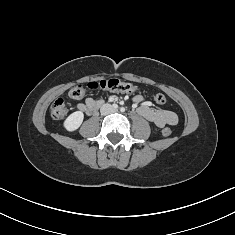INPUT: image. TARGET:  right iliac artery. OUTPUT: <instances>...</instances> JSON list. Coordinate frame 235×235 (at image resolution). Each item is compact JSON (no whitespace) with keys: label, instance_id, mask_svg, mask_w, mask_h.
I'll return each instance as SVG.
<instances>
[{"label":"right iliac artery","instance_id":"right-iliac-artery-1","mask_svg":"<svg viewBox=\"0 0 235 235\" xmlns=\"http://www.w3.org/2000/svg\"><path fill=\"white\" fill-rule=\"evenodd\" d=\"M112 107H113L114 109H117V108H118V105H117V104H113Z\"/></svg>","mask_w":235,"mask_h":235}]
</instances>
